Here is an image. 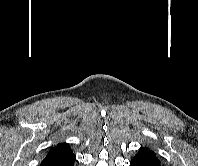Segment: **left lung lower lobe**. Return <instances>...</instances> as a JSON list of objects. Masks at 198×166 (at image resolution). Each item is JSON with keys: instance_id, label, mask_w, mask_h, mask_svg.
<instances>
[{"instance_id": "1", "label": "left lung lower lobe", "mask_w": 198, "mask_h": 166, "mask_svg": "<svg viewBox=\"0 0 198 166\" xmlns=\"http://www.w3.org/2000/svg\"><path fill=\"white\" fill-rule=\"evenodd\" d=\"M130 166H161L160 161L136 154L130 161Z\"/></svg>"}]
</instances>
